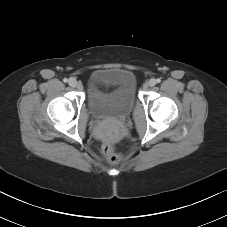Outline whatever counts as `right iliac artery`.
<instances>
[{
  "instance_id": "right-iliac-artery-1",
  "label": "right iliac artery",
  "mask_w": 227,
  "mask_h": 227,
  "mask_svg": "<svg viewBox=\"0 0 227 227\" xmlns=\"http://www.w3.org/2000/svg\"><path fill=\"white\" fill-rule=\"evenodd\" d=\"M63 81H64L65 83H67V82H68V79H67V78H64Z\"/></svg>"
}]
</instances>
